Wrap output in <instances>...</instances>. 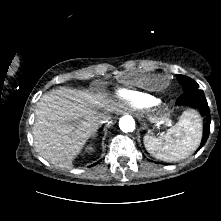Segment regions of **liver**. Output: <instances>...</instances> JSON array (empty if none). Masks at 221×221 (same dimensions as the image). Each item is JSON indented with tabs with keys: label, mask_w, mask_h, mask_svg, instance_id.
I'll use <instances>...</instances> for the list:
<instances>
[{
	"label": "liver",
	"mask_w": 221,
	"mask_h": 221,
	"mask_svg": "<svg viewBox=\"0 0 221 221\" xmlns=\"http://www.w3.org/2000/svg\"><path fill=\"white\" fill-rule=\"evenodd\" d=\"M115 111L117 104L104 92L53 89L36 104L35 149L54 166L70 169L87 140L102 125L99 116H111Z\"/></svg>",
	"instance_id": "1"
}]
</instances>
